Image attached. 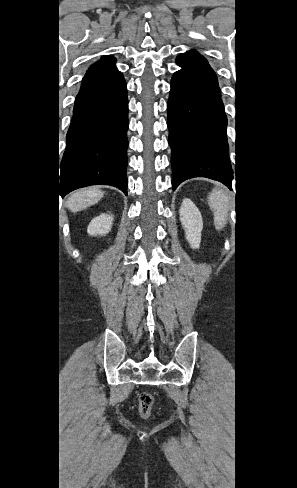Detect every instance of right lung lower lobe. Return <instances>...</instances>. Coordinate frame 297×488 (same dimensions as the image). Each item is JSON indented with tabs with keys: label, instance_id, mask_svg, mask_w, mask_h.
<instances>
[{
	"label": "right lung lower lobe",
	"instance_id": "obj_1",
	"mask_svg": "<svg viewBox=\"0 0 297 488\" xmlns=\"http://www.w3.org/2000/svg\"><path fill=\"white\" fill-rule=\"evenodd\" d=\"M128 100L123 75L75 101L61 163L60 194L96 184L127 195Z\"/></svg>",
	"mask_w": 297,
	"mask_h": 488
}]
</instances>
